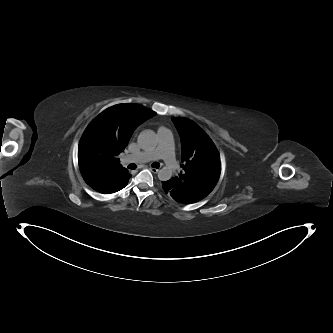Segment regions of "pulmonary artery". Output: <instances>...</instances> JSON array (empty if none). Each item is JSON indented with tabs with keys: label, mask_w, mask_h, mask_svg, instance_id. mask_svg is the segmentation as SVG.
<instances>
[{
	"label": "pulmonary artery",
	"mask_w": 333,
	"mask_h": 333,
	"mask_svg": "<svg viewBox=\"0 0 333 333\" xmlns=\"http://www.w3.org/2000/svg\"><path fill=\"white\" fill-rule=\"evenodd\" d=\"M157 134L159 143L156 149L129 155L122 160V163H146L156 159H162L165 167L173 171L175 169V159L172 133L169 129L161 127Z\"/></svg>",
	"instance_id": "e3ab8cb5"
}]
</instances>
